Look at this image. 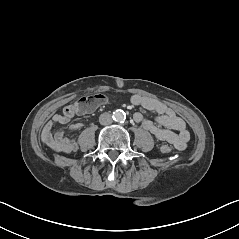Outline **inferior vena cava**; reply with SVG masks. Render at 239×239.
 <instances>
[{
  "instance_id": "inferior-vena-cava-1",
  "label": "inferior vena cava",
  "mask_w": 239,
  "mask_h": 239,
  "mask_svg": "<svg viewBox=\"0 0 239 239\" xmlns=\"http://www.w3.org/2000/svg\"><path fill=\"white\" fill-rule=\"evenodd\" d=\"M99 122L102 125H109L113 122V118L110 113L104 112L99 116Z\"/></svg>"
}]
</instances>
